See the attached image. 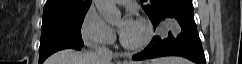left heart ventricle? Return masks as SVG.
<instances>
[{"instance_id": "1", "label": "left heart ventricle", "mask_w": 242, "mask_h": 64, "mask_svg": "<svg viewBox=\"0 0 242 64\" xmlns=\"http://www.w3.org/2000/svg\"><path fill=\"white\" fill-rule=\"evenodd\" d=\"M144 36V31L142 27L137 23L135 29L124 39L130 43H137L139 42Z\"/></svg>"}]
</instances>
